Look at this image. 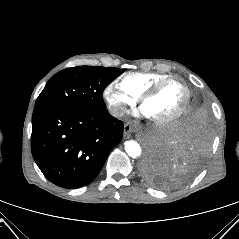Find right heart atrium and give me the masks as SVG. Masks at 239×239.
Wrapping results in <instances>:
<instances>
[{
    "mask_svg": "<svg viewBox=\"0 0 239 239\" xmlns=\"http://www.w3.org/2000/svg\"><path fill=\"white\" fill-rule=\"evenodd\" d=\"M103 96L107 102L110 113L115 116H121L126 107L133 105L138 97L124 89L118 81L110 82L103 91Z\"/></svg>",
    "mask_w": 239,
    "mask_h": 239,
    "instance_id": "1",
    "label": "right heart atrium"
}]
</instances>
